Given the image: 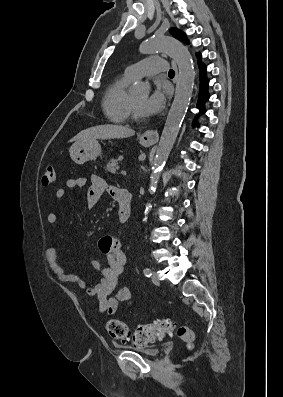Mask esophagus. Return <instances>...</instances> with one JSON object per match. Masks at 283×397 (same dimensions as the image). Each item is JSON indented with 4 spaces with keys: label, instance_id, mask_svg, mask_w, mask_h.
<instances>
[{
    "label": "esophagus",
    "instance_id": "obj_1",
    "mask_svg": "<svg viewBox=\"0 0 283 397\" xmlns=\"http://www.w3.org/2000/svg\"><path fill=\"white\" fill-rule=\"evenodd\" d=\"M172 66L175 70V81H177L178 78V68L175 60L172 61ZM159 134L157 129H151V130H146L142 135L141 139L145 142L148 143H154L158 140Z\"/></svg>",
    "mask_w": 283,
    "mask_h": 397
}]
</instances>
